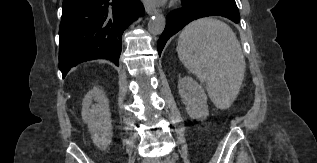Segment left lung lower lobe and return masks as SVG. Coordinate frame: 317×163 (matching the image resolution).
<instances>
[{"mask_svg":"<svg viewBox=\"0 0 317 163\" xmlns=\"http://www.w3.org/2000/svg\"><path fill=\"white\" fill-rule=\"evenodd\" d=\"M183 8L168 14L165 29L158 40L159 56L167 40L189 22L207 16H223L235 23L240 20L237 6L220 0H182Z\"/></svg>","mask_w":317,"mask_h":163,"instance_id":"left-lung-lower-lobe-1","label":"left lung lower lobe"}]
</instances>
